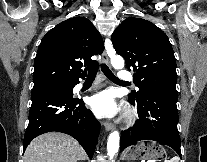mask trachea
I'll use <instances>...</instances> for the list:
<instances>
[{
    "label": "trachea",
    "mask_w": 207,
    "mask_h": 162,
    "mask_svg": "<svg viewBox=\"0 0 207 162\" xmlns=\"http://www.w3.org/2000/svg\"><path fill=\"white\" fill-rule=\"evenodd\" d=\"M101 69L103 71V73L105 74V76L107 78H109L111 81H115V82H122L118 77H116L112 71L108 68L107 65L105 64H101ZM96 72L97 69L94 67L92 69L89 70V74L87 76V79H95L96 76Z\"/></svg>",
    "instance_id": "3493384b"
}]
</instances>
